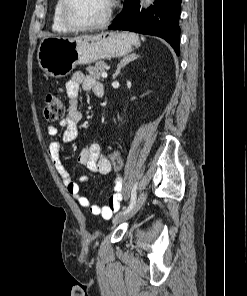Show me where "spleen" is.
Listing matches in <instances>:
<instances>
[{
	"label": "spleen",
	"mask_w": 247,
	"mask_h": 296,
	"mask_svg": "<svg viewBox=\"0 0 247 296\" xmlns=\"http://www.w3.org/2000/svg\"><path fill=\"white\" fill-rule=\"evenodd\" d=\"M141 40H143V41H144V40H145V38H144L143 36H141Z\"/></svg>",
	"instance_id": "obj_1"
}]
</instances>
